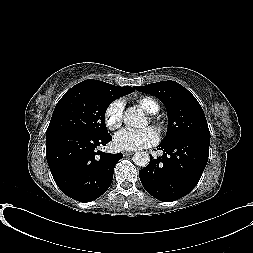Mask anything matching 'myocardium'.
Here are the masks:
<instances>
[{"label": "myocardium", "instance_id": "1", "mask_svg": "<svg viewBox=\"0 0 253 253\" xmlns=\"http://www.w3.org/2000/svg\"><path fill=\"white\" fill-rule=\"evenodd\" d=\"M153 119H154V117L152 115H150V120H153ZM159 126H160V124H159Z\"/></svg>", "mask_w": 253, "mask_h": 253}]
</instances>
